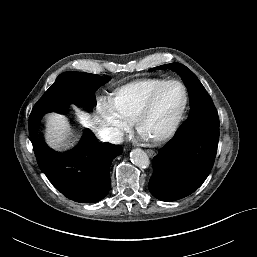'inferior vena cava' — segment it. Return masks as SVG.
<instances>
[{
    "instance_id": "1",
    "label": "inferior vena cava",
    "mask_w": 257,
    "mask_h": 257,
    "mask_svg": "<svg viewBox=\"0 0 257 257\" xmlns=\"http://www.w3.org/2000/svg\"><path fill=\"white\" fill-rule=\"evenodd\" d=\"M110 136L114 142L120 143L122 141V133L119 131L112 132Z\"/></svg>"
}]
</instances>
